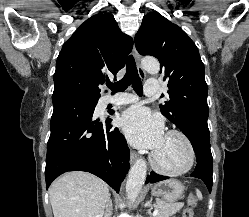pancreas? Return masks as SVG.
<instances>
[{
  "instance_id": "cf45deb5",
  "label": "pancreas",
  "mask_w": 249,
  "mask_h": 217,
  "mask_svg": "<svg viewBox=\"0 0 249 217\" xmlns=\"http://www.w3.org/2000/svg\"><path fill=\"white\" fill-rule=\"evenodd\" d=\"M184 203H173L169 204L163 200H158L155 203V208L158 209V214L156 217H170L176 214L181 208H183Z\"/></svg>"
}]
</instances>
